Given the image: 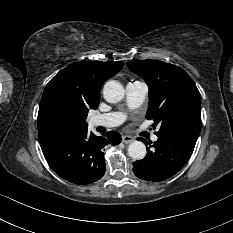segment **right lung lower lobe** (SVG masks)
Returning a JSON list of instances; mask_svg holds the SVG:
<instances>
[{
	"label": "right lung lower lobe",
	"instance_id": "right-lung-lower-lobe-1",
	"mask_svg": "<svg viewBox=\"0 0 233 233\" xmlns=\"http://www.w3.org/2000/svg\"><path fill=\"white\" fill-rule=\"evenodd\" d=\"M44 157L50 167L63 179L78 185L98 181L105 173L102 148L118 145L121 135L110 131L104 136L88 132L87 127L69 131L38 134Z\"/></svg>",
	"mask_w": 233,
	"mask_h": 233
}]
</instances>
